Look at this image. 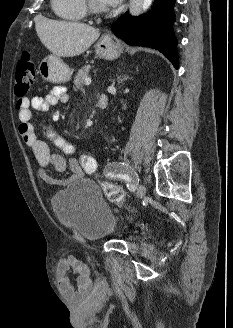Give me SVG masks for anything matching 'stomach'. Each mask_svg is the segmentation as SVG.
Returning <instances> with one entry per match:
<instances>
[{
	"instance_id": "obj_1",
	"label": "stomach",
	"mask_w": 233,
	"mask_h": 328,
	"mask_svg": "<svg viewBox=\"0 0 233 328\" xmlns=\"http://www.w3.org/2000/svg\"><path fill=\"white\" fill-rule=\"evenodd\" d=\"M96 53L106 59H115L123 51L122 45L111 35H103L95 45ZM39 73L45 81L52 83L70 80V68L56 55H48L39 65Z\"/></svg>"
}]
</instances>
